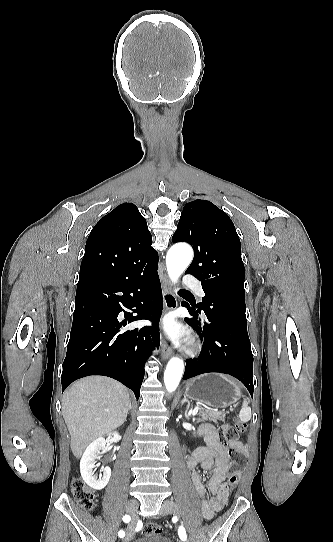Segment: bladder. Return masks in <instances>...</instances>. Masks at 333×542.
Returning <instances> with one entry per match:
<instances>
[{
	"label": "bladder",
	"mask_w": 333,
	"mask_h": 542,
	"mask_svg": "<svg viewBox=\"0 0 333 542\" xmlns=\"http://www.w3.org/2000/svg\"><path fill=\"white\" fill-rule=\"evenodd\" d=\"M134 542H174V541L165 535L149 534L141 538H138Z\"/></svg>",
	"instance_id": "bladder-1"
}]
</instances>
